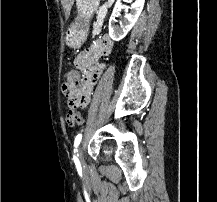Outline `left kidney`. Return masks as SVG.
Segmentation results:
<instances>
[{"instance_id": "obj_1", "label": "left kidney", "mask_w": 217, "mask_h": 202, "mask_svg": "<svg viewBox=\"0 0 217 202\" xmlns=\"http://www.w3.org/2000/svg\"><path fill=\"white\" fill-rule=\"evenodd\" d=\"M144 2L145 0H135V2H133L132 6H130V14H125L124 20L122 24H120L121 28H117V26H114L113 24L114 16H120V12L122 8H124L121 4V0L116 2V6L113 10L108 26L111 40H114V42H120V40H123V38L127 36L128 32H130L131 28H133L135 22H137L143 10Z\"/></svg>"}]
</instances>
